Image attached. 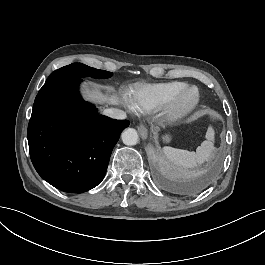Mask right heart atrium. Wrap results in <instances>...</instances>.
<instances>
[{
  "label": "right heart atrium",
  "mask_w": 265,
  "mask_h": 265,
  "mask_svg": "<svg viewBox=\"0 0 265 265\" xmlns=\"http://www.w3.org/2000/svg\"><path fill=\"white\" fill-rule=\"evenodd\" d=\"M118 98H119V103L121 104V105H120V108L122 109V112H123L125 115H129V114L132 112V109H131L130 106L127 104V103H128L127 95H126L124 92H121V93L118 95Z\"/></svg>",
  "instance_id": "obj_1"
}]
</instances>
